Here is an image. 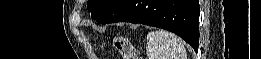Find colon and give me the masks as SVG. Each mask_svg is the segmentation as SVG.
Listing matches in <instances>:
<instances>
[{
    "label": "colon",
    "instance_id": "obj_1",
    "mask_svg": "<svg viewBox=\"0 0 261 59\" xmlns=\"http://www.w3.org/2000/svg\"><path fill=\"white\" fill-rule=\"evenodd\" d=\"M115 49L120 53L122 58H131V45L127 39L123 37H117L113 39Z\"/></svg>",
    "mask_w": 261,
    "mask_h": 59
}]
</instances>
